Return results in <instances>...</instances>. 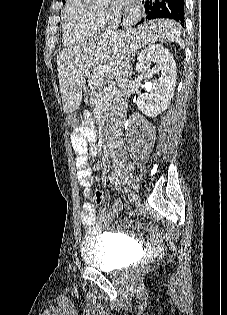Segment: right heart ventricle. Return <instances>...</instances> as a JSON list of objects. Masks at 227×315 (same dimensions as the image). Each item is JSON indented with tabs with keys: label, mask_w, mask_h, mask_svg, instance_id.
Instances as JSON below:
<instances>
[{
	"label": "right heart ventricle",
	"mask_w": 227,
	"mask_h": 315,
	"mask_svg": "<svg viewBox=\"0 0 227 315\" xmlns=\"http://www.w3.org/2000/svg\"><path fill=\"white\" fill-rule=\"evenodd\" d=\"M96 13L83 0H66L61 17L66 46L83 43L99 34L102 27Z\"/></svg>",
	"instance_id": "right-heart-ventricle-1"
}]
</instances>
